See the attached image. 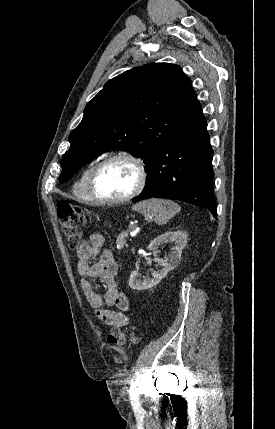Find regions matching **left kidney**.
Returning <instances> with one entry per match:
<instances>
[{"label": "left kidney", "mask_w": 275, "mask_h": 429, "mask_svg": "<svg viewBox=\"0 0 275 429\" xmlns=\"http://www.w3.org/2000/svg\"><path fill=\"white\" fill-rule=\"evenodd\" d=\"M174 243L172 251L168 254L166 259L155 258L156 266H162L161 269L154 271L151 278L141 280L137 271H132L129 279V286L131 289L139 291L150 289L157 285L163 278L166 277L168 272L177 267L180 262L182 250L186 246L187 236L182 231L165 232L164 234L156 237L149 244L147 249H155L163 243Z\"/></svg>", "instance_id": "5707ae66"}]
</instances>
